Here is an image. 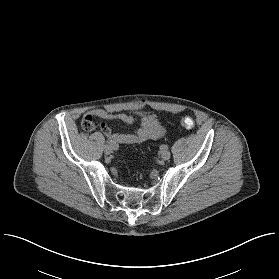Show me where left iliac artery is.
Returning <instances> with one entry per match:
<instances>
[{
	"label": "left iliac artery",
	"mask_w": 279,
	"mask_h": 279,
	"mask_svg": "<svg viewBox=\"0 0 279 279\" xmlns=\"http://www.w3.org/2000/svg\"><path fill=\"white\" fill-rule=\"evenodd\" d=\"M168 148H169L168 145H161V147H160L161 150H167Z\"/></svg>",
	"instance_id": "left-iliac-artery-1"
}]
</instances>
